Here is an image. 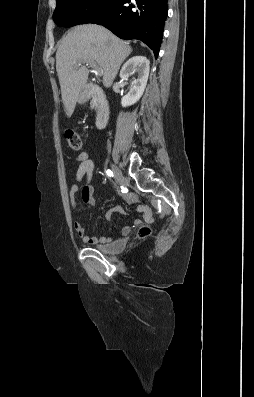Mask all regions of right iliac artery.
<instances>
[{"instance_id": "right-iliac-artery-1", "label": "right iliac artery", "mask_w": 254, "mask_h": 397, "mask_svg": "<svg viewBox=\"0 0 254 397\" xmlns=\"http://www.w3.org/2000/svg\"><path fill=\"white\" fill-rule=\"evenodd\" d=\"M106 174H107L109 177H113V173H112L111 170H107V171H106Z\"/></svg>"}]
</instances>
